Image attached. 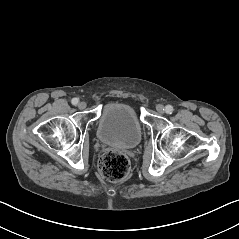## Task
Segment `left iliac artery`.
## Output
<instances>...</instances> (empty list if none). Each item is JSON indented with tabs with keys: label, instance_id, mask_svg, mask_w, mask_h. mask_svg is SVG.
Listing matches in <instances>:
<instances>
[{
	"label": "left iliac artery",
	"instance_id": "44dca946",
	"mask_svg": "<svg viewBox=\"0 0 239 239\" xmlns=\"http://www.w3.org/2000/svg\"><path fill=\"white\" fill-rule=\"evenodd\" d=\"M165 111L167 114H172L173 112V107L171 105H167L165 108Z\"/></svg>",
	"mask_w": 239,
	"mask_h": 239
}]
</instances>
